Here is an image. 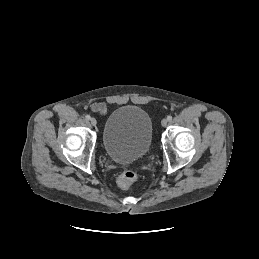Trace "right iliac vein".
<instances>
[{
	"instance_id": "1",
	"label": "right iliac vein",
	"mask_w": 259,
	"mask_h": 259,
	"mask_svg": "<svg viewBox=\"0 0 259 259\" xmlns=\"http://www.w3.org/2000/svg\"><path fill=\"white\" fill-rule=\"evenodd\" d=\"M90 123H91L92 126H96L97 121H96L95 118H91V119H90Z\"/></svg>"
}]
</instances>
